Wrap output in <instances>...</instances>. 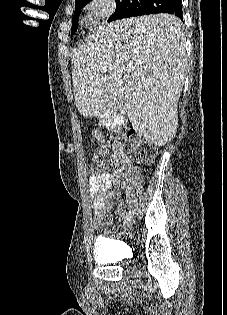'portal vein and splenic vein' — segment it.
<instances>
[{
  "instance_id": "obj_1",
  "label": "portal vein and splenic vein",
  "mask_w": 227,
  "mask_h": 315,
  "mask_svg": "<svg viewBox=\"0 0 227 315\" xmlns=\"http://www.w3.org/2000/svg\"><path fill=\"white\" fill-rule=\"evenodd\" d=\"M107 71V69L106 68H103V72H106Z\"/></svg>"
}]
</instances>
